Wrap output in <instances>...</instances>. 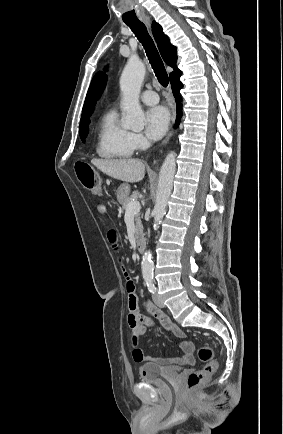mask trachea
<instances>
[{
  "instance_id": "3493384b",
  "label": "trachea",
  "mask_w": 283,
  "mask_h": 434,
  "mask_svg": "<svg viewBox=\"0 0 283 434\" xmlns=\"http://www.w3.org/2000/svg\"><path fill=\"white\" fill-rule=\"evenodd\" d=\"M126 24L130 27L139 42L143 45L148 60L154 70V73L159 83L163 87H167L169 84L168 74L166 72L164 63L158 53V50L154 44V41L147 31L146 26L140 21Z\"/></svg>"
}]
</instances>
